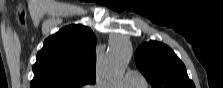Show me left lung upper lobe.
<instances>
[{"label":"left lung upper lobe","instance_id":"obj_1","mask_svg":"<svg viewBox=\"0 0 223 88\" xmlns=\"http://www.w3.org/2000/svg\"><path fill=\"white\" fill-rule=\"evenodd\" d=\"M135 62L152 88H195L184 64L171 48L160 42L140 45Z\"/></svg>","mask_w":223,"mask_h":88}]
</instances>
